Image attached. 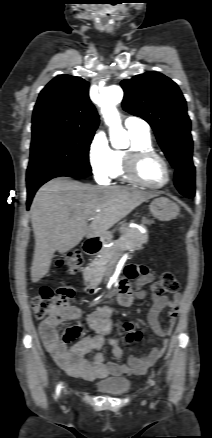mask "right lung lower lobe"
<instances>
[{
	"label": "right lung lower lobe",
	"instance_id": "1",
	"mask_svg": "<svg viewBox=\"0 0 212 438\" xmlns=\"http://www.w3.org/2000/svg\"><path fill=\"white\" fill-rule=\"evenodd\" d=\"M90 175L91 171L83 169L45 168L27 171V209H29L32 198L37 189L50 179L60 176L81 178Z\"/></svg>",
	"mask_w": 212,
	"mask_h": 438
}]
</instances>
